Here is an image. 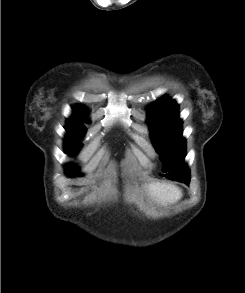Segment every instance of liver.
<instances>
[{
  "mask_svg": "<svg viewBox=\"0 0 245 293\" xmlns=\"http://www.w3.org/2000/svg\"><path fill=\"white\" fill-rule=\"evenodd\" d=\"M146 191L160 204L174 203L182 197V192L177 186L167 183H150L147 185Z\"/></svg>",
  "mask_w": 245,
  "mask_h": 293,
  "instance_id": "1",
  "label": "liver"
}]
</instances>
